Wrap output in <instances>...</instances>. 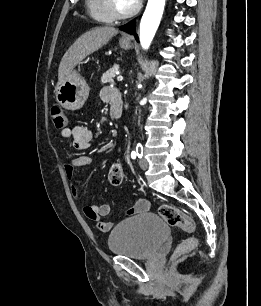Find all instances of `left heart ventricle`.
Wrapping results in <instances>:
<instances>
[{
  "instance_id": "b2bd125f",
  "label": "left heart ventricle",
  "mask_w": 261,
  "mask_h": 306,
  "mask_svg": "<svg viewBox=\"0 0 261 306\" xmlns=\"http://www.w3.org/2000/svg\"><path fill=\"white\" fill-rule=\"evenodd\" d=\"M115 4L120 11H128L134 7V0H115Z\"/></svg>"
}]
</instances>
